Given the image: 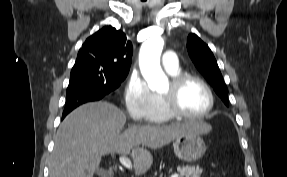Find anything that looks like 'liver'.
I'll return each mask as SVG.
<instances>
[{"instance_id":"1","label":"liver","mask_w":287,"mask_h":177,"mask_svg":"<svg viewBox=\"0 0 287 177\" xmlns=\"http://www.w3.org/2000/svg\"><path fill=\"white\" fill-rule=\"evenodd\" d=\"M125 123L124 113L106 101L76 108L58 128L49 177H93L101 157L113 153L130 154L136 175H141L153 163L144 146L157 149L185 134H205L212 129L207 123L190 120L170 125H131L121 133Z\"/></svg>"}]
</instances>
